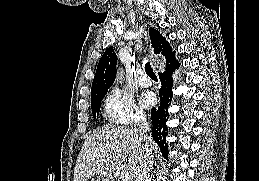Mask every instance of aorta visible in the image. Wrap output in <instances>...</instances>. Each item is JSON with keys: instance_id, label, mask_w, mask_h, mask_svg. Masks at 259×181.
Here are the masks:
<instances>
[{"instance_id": "obj_1", "label": "aorta", "mask_w": 259, "mask_h": 181, "mask_svg": "<svg viewBox=\"0 0 259 181\" xmlns=\"http://www.w3.org/2000/svg\"><path fill=\"white\" fill-rule=\"evenodd\" d=\"M118 78L122 79V71L120 73L118 72Z\"/></svg>"}]
</instances>
